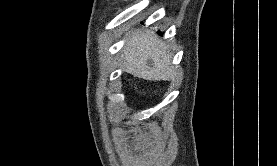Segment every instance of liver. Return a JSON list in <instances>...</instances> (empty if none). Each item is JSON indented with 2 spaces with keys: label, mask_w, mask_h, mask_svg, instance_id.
Masks as SVG:
<instances>
[{
  "label": "liver",
  "mask_w": 277,
  "mask_h": 166,
  "mask_svg": "<svg viewBox=\"0 0 277 166\" xmlns=\"http://www.w3.org/2000/svg\"><path fill=\"white\" fill-rule=\"evenodd\" d=\"M171 55L167 46L149 30L129 33V40L123 48L122 68L136 77L145 80H167L174 76ZM154 66L147 65L148 60Z\"/></svg>",
  "instance_id": "obj_1"
}]
</instances>
